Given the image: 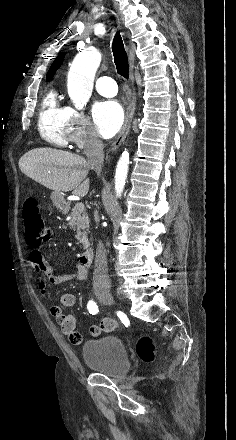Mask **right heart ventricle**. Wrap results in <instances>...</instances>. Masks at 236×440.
<instances>
[{"instance_id": "e07e8e85", "label": "right heart ventricle", "mask_w": 236, "mask_h": 440, "mask_svg": "<svg viewBox=\"0 0 236 440\" xmlns=\"http://www.w3.org/2000/svg\"><path fill=\"white\" fill-rule=\"evenodd\" d=\"M38 127L48 143L57 147L69 144L68 107L61 103L54 89H50L42 100Z\"/></svg>"}]
</instances>
